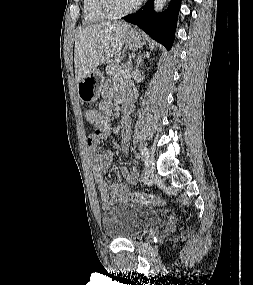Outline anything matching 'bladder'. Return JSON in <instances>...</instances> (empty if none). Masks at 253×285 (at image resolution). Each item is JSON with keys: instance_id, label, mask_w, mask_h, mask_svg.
<instances>
[{"instance_id": "31cf9c89", "label": "bladder", "mask_w": 253, "mask_h": 285, "mask_svg": "<svg viewBox=\"0 0 253 285\" xmlns=\"http://www.w3.org/2000/svg\"><path fill=\"white\" fill-rule=\"evenodd\" d=\"M161 220L160 213L150 207L121 203L108 208L102 215L105 235L111 239H134Z\"/></svg>"}]
</instances>
